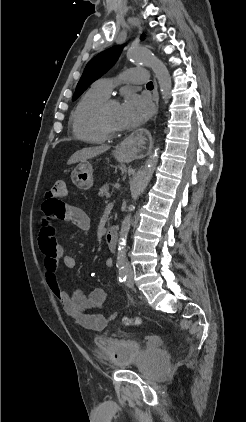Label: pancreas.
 Instances as JSON below:
<instances>
[{
    "instance_id": "pancreas-1",
    "label": "pancreas",
    "mask_w": 246,
    "mask_h": 422,
    "mask_svg": "<svg viewBox=\"0 0 246 422\" xmlns=\"http://www.w3.org/2000/svg\"><path fill=\"white\" fill-rule=\"evenodd\" d=\"M108 190H109V187H108V185H107V184H105L104 186H102V187L100 188L98 195H99L100 197H104V196H106V194L108 193Z\"/></svg>"
}]
</instances>
